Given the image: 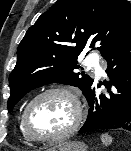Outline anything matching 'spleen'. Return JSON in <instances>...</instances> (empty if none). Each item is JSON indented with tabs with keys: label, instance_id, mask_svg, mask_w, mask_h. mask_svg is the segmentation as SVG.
Returning a JSON list of instances; mask_svg holds the SVG:
<instances>
[{
	"label": "spleen",
	"instance_id": "obj_1",
	"mask_svg": "<svg viewBox=\"0 0 131 151\" xmlns=\"http://www.w3.org/2000/svg\"><path fill=\"white\" fill-rule=\"evenodd\" d=\"M101 141H102L103 145L108 146L112 143L113 139L108 134H101Z\"/></svg>",
	"mask_w": 131,
	"mask_h": 151
}]
</instances>
